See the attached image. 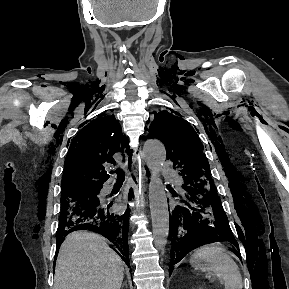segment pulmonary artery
<instances>
[{"label": "pulmonary artery", "mask_w": 289, "mask_h": 289, "mask_svg": "<svg viewBox=\"0 0 289 289\" xmlns=\"http://www.w3.org/2000/svg\"><path fill=\"white\" fill-rule=\"evenodd\" d=\"M162 171H163V177L164 178H175L176 177V173L172 170L169 169V167L166 164L162 165ZM176 184L179 183V181L177 179L174 180ZM109 187H106L105 190H108Z\"/></svg>", "instance_id": "e3ab8cb5"}]
</instances>
